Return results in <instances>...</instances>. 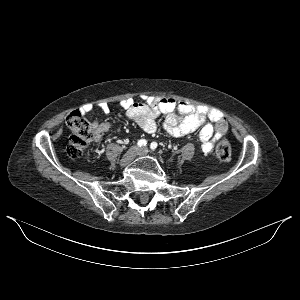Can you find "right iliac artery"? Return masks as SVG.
<instances>
[{"mask_svg":"<svg viewBox=\"0 0 300 300\" xmlns=\"http://www.w3.org/2000/svg\"><path fill=\"white\" fill-rule=\"evenodd\" d=\"M146 144H147V141H146L145 139H141V140H139L138 143H137V145H138L139 147L146 146Z\"/></svg>","mask_w":300,"mask_h":300,"instance_id":"1","label":"right iliac artery"}]
</instances>
